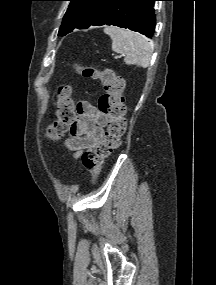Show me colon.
I'll return each mask as SVG.
<instances>
[{
	"instance_id": "colon-1",
	"label": "colon",
	"mask_w": 216,
	"mask_h": 285,
	"mask_svg": "<svg viewBox=\"0 0 216 285\" xmlns=\"http://www.w3.org/2000/svg\"><path fill=\"white\" fill-rule=\"evenodd\" d=\"M75 71L84 78L99 80L104 88V95L99 101V111L107 118L106 131L102 139L88 148L82 156L85 169L96 180L104 160L120 146L126 130L124 79L112 69H99L93 66L75 64ZM71 88L61 85L57 91V119L48 127L47 135L51 139L61 137L73 123L75 107L70 98Z\"/></svg>"
}]
</instances>
